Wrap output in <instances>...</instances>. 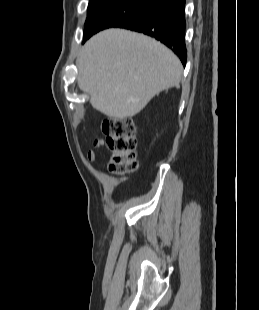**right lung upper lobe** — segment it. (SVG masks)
<instances>
[{
	"instance_id": "cb5924a9",
	"label": "right lung upper lobe",
	"mask_w": 259,
	"mask_h": 310,
	"mask_svg": "<svg viewBox=\"0 0 259 310\" xmlns=\"http://www.w3.org/2000/svg\"><path fill=\"white\" fill-rule=\"evenodd\" d=\"M105 1H108V0H90L88 7H92V6L98 5V4H100L102 2H105Z\"/></svg>"
}]
</instances>
